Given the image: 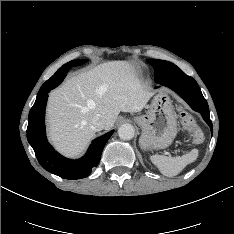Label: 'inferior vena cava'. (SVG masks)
Masks as SVG:
<instances>
[{"label":"inferior vena cava","instance_id":"inferior-vena-cava-1","mask_svg":"<svg viewBox=\"0 0 234 234\" xmlns=\"http://www.w3.org/2000/svg\"><path fill=\"white\" fill-rule=\"evenodd\" d=\"M91 128L94 131H100L105 128V120L99 114L95 115L91 121Z\"/></svg>","mask_w":234,"mask_h":234}]
</instances>
